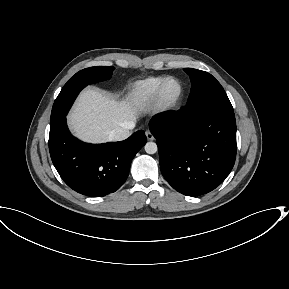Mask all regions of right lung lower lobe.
Returning <instances> with one entry per match:
<instances>
[{
  "mask_svg": "<svg viewBox=\"0 0 289 289\" xmlns=\"http://www.w3.org/2000/svg\"><path fill=\"white\" fill-rule=\"evenodd\" d=\"M146 142L140 130L121 142L84 143L71 135L63 117L50 126L49 151L56 170L71 189L102 197L124 184L132 159Z\"/></svg>",
  "mask_w": 289,
  "mask_h": 289,
  "instance_id": "98d812e1",
  "label": "right lung lower lobe"
}]
</instances>
